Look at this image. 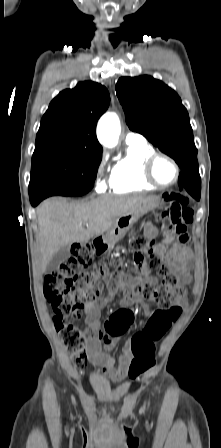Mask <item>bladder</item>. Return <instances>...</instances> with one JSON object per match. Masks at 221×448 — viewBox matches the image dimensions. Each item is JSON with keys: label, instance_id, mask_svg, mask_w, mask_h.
<instances>
[{"label": "bladder", "instance_id": "31cf9c89", "mask_svg": "<svg viewBox=\"0 0 221 448\" xmlns=\"http://www.w3.org/2000/svg\"><path fill=\"white\" fill-rule=\"evenodd\" d=\"M96 382H98V383H101V382H100V381H98V380H97Z\"/></svg>", "mask_w": 221, "mask_h": 448}]
</instances>
